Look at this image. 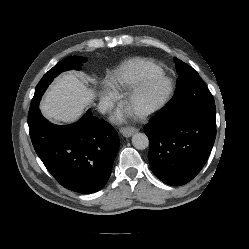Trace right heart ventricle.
Masks as SVG:
<instances>
[{
    "label": "right heart ventricle",
    "mask_w": 249,
    "mask_h": 249,
    "mask_svg": "<svg viewBox=\"0 0 249 249\" xmlns=\"http://www.w3.org/2000/svg\"><path fill=\"white\" fill-rule=\"evenodd\" d=\"M163 70L154 62L135 58L124 63L112 76L111 86L115 91L130 89L142 81L162 75Z\"/></svg>",
    "instance_id": "obj_1"
}]
</instances>
